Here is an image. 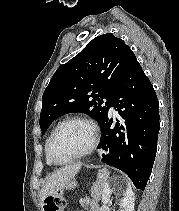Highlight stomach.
<instances>
[{
	"label": "stomach",
	"instance_id": "1",
	"mask_svg": "<svg viewBox=\"0 0 179 211\" xmlns=\"http://www.w3.org/2000/svg\"><path fill=\"white\" fill-rule=\"evenodd\" d=\"M76 186H77L76 180L72 179V180H70V182H68V184L64 188L66 190H72V189L76 188Z\"/></svg>",
	"mask_w": 179,
	"mask_h": 211
}]
</instances>
